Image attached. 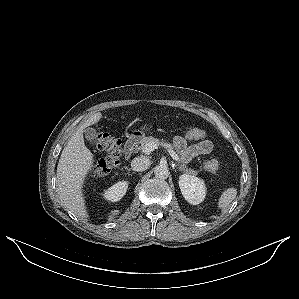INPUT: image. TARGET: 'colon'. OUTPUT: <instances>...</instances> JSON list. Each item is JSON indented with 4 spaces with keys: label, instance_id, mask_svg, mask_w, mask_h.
Masks as SVG:
<instances>
[{
    "label": "colon",
    "instance_id": "obj_1",
    "mask_svg": "<svg viewBox=\"0 0 299 299\" xmlns=\"http://www.w3.org/2000/svg\"><path fill=\"white\" fill-rule=\"evenodd\" d=\"M182 137L188 141H198L205 139L207 132L201 128L191 127L183 131ZM93 146L98 150L106 152V156L97 160L93 165L95 174L105 175L120 161L122 155L121 142L108 134H99L93 141ZM208 167L216 169V161H210Z\"/></svg>",
    "mask_w": 299,
    "mask_h": 299
}]
</instances>
